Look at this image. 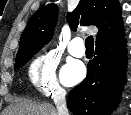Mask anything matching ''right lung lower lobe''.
<instances>
[{"instance_id": "98d812e1", "label": "right lung lower lobe", "mask_w": 131, "mask_h": 115, "mask_svg": "<svg viewBox=\"0 0 131 115\" xmlns=\"http://www.w3.org/2000/svg\"><path fill=\"white\" fill-rule=\"evenodd\" d=\"M125 44L122 35L96 45L86 78L68 96V109L74 115H108L117 107L127 69Z\"/></svg>"}]
</instances>
